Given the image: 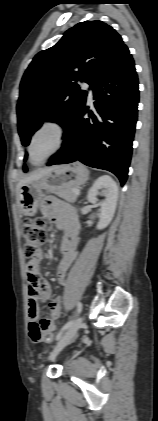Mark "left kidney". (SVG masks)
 <instances>
[{
    "label": "left kidney",
    "instance_id": "obj_1",
    "mask_svg": "<svg viewBox=\"0 0 158 421\" xmlns=\"http://www.w3.org/2000/svg\"><path fill=\"white\" fill-rule=\"evenodd\" d=\"M99 195L105 196V199L99 203L101 209L97 229L101 230L112 221L118 200V186L110 176L99 177L90 188L87 199L94 204L98 201Z\"/></svg>",
    "mask_w": 158,
    "mask_h": 421
}]
</instances>
